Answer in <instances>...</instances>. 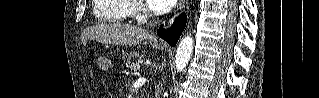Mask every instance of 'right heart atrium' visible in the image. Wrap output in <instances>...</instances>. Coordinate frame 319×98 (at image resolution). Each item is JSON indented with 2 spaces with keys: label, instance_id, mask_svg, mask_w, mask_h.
I'll return each instance as SVG.
<instances>
[{
  "label": "right heart atrium",
  "instance_id": "obj_1",
  "mask_svg": "<svg viewBox=\"0 0 319 98\" xmlns=\"http://www.w3.org/2000/svg\"><path fill=\"white\" fill-rule=\"evenodd\" d=\"M143 7L141 5L137 6L136 9H135V12L137 14H142L143 13Z\"/></svg>",
  "mask_w": 319,
  "mask_h": 98
}]
</instances>
